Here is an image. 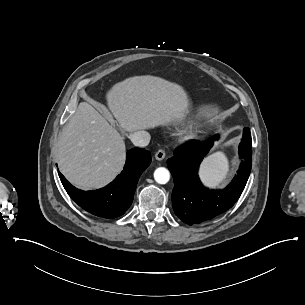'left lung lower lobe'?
<instances>
[{"mask_svg": "<svg viewBox=\"0 0 305 305\" xmlns=\"http://www.w3.org/2000/svg\"><path fill=\"white\" fill-rule=\"evenodd\" d=\"M218 135L175 150L167 165L174 179L172 206L176 216L188 225L200 224L230 209L243 192L252 166V139L244 128L239 145L241 166L229 186L223 190L205 188L198 177V168Z\"/></svg>", "mask_w": 305, "mask_h": 305, "instance_id": "left-lung-lower-lobe-1", "label": "left lung lower lobe"}]
</instances>
